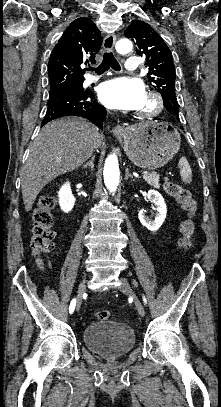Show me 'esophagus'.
I'll use <instances>...</instances> for the list:
<instances>
[{
  "instance_id": "34e87169",
  "label": "esophagus",
  "mask_w": 221,
  "mask_h": 407,
  "mask_svg": "<svg viewBox=\"0 0 221 407\" xmlns=\"http://www.w3.org/2000/svg\"><path fill=\"white\" fill-rule=\"evenodd\" d=\"M115 40H116L115 34H108L103 41V50L105 52H111L114 48ZM127 131L128 128L125 126L116 125L112 127V132L116 137L124 136Z\"/></svg>"
}]
</instances>
